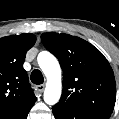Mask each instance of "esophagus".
I'll return each instance as SVG.
<instances>
[{
    "label": "esophagus",
    "mask_w": 119,
    "mask_h": 119,
    "mask_svg": "<svg viewBox=\"0 0 119 119\" xmlns=\"http://www.w3.org/2000/svg\"><path fill=\"white\" fill-rule=\"evenodd\" d=\"M35 89L39 94H41L44 91V85H36Z\"/></svg>",
    "instance_id": "1"
}]
</instances>
